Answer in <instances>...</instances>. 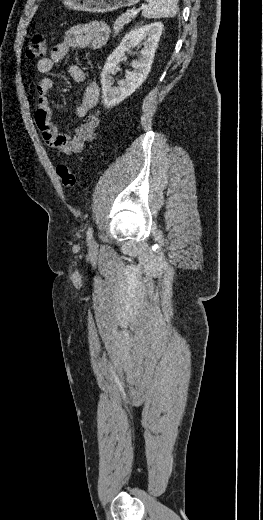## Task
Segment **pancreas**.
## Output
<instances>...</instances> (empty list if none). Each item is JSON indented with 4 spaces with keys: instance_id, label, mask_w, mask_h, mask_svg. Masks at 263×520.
<instances>
[{
    "instance_id": "1",
    "label": "pancreas",
    "mask_w": 263,
    "mask_h": 520,
    "mask_svg": "<svg viewBox=\"0 0 263 520\" xmlns=\"http://www.w3.org/2000/svg\"><path fill=\"white\" fill-rule=\"evenodd\" d=\"M133 18H134V16L129 15L128 13H125V14H122L121 16H119L114 22V26H113L114 33H119L126 24L131 22V19H133Z\"/></svg>"
}]
</instances>
